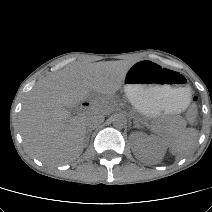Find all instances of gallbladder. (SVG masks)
Instances as JSON below:
<instances>
[{"instance_id": "gallbladder-1", "label": "gallbladder", "mask_w": 212, "mask_h": 212, "mask_svg": "<svg viewBox=\"0 0 212 212\" xmlns=\"http://www.w3.org/2000/svg\"><path fill=\"white\" fill-rule=\"evenodd\" d=\"M68 109V111H70V112H73L74 111V108H67Z\"/></svg>"}]
</instances>
